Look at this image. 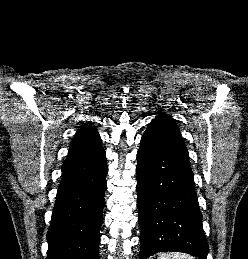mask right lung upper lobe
Returning a JSON list of instances; mask_svg holds the SVG:
<instances>
[{"mask_svg": "<svg viewBox=\"0 0 248 259\" xmlns=\"http://www.w3.org/2000/svg\"><path fill=\"white\" fill-rule=\"evenodd\" d=\"M102 152H104V150L96 128L84 126L75 134L64 164L88 160Z\"/></svg>", "mask_w": 248, "mask_h": 259, "instance_id": "1", "label": "right lung upper lobe"}]
</instances>
